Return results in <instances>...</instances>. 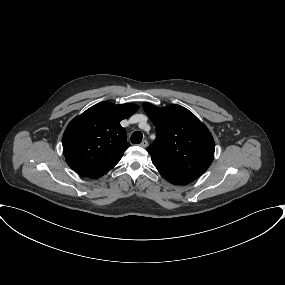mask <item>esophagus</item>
Segmentation results:
<instances>
[{
	"instance_id": "1",
	"label": "esophagus",
	"mask_w": 285,
	"mask_h": 285,
	"mask_svg": "<svg viewBox=\"0 0 285 285\" xmlns=\"http://www.w3.org/2000/svg\"><path fill=\"white\" fill-rule=\"evenodd\" d=\"M140 146L143 147V148H146L148 146V141L147 140H143L141 143H140Z\"/></svg>"
}]
</instances>
